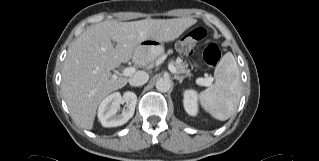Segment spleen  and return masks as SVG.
I'll return each mask as SVG.
<instances>
[{"label":"spleen","instance_id":"1","mask_svg":"<svg viewBox=\"0 0 319 161\" xmlns=\"http://www.w3.org/2000/svg\"><path fill=\"white\" fill-rule=\"evenodd\" d=\"M215 83L200 93L202 107L217 120H227L236 111L241 97V80L237 62L227 52L214 72Z\"/></svg>","mask_w":319,"mask_h":161}]
</instances>
